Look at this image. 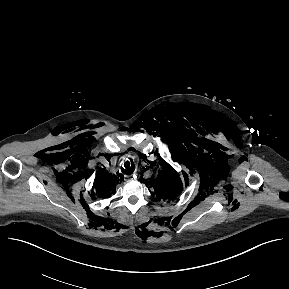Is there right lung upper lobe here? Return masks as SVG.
I'll list each match as a JSON object with an SVG mask.
<instances>
[{
	"mask_svg": "<svg viewBox=\"0 0 289 289\" xmlns=\"http://www.w3.org/2000/svg\"><path fill=\"white\" fill-rule=\"evenodd\" d=\"M117 183L119 182L116 177H110L106 170L101 169L94 184L99 197H108L110 194L115 193Z\"/></svg>",
	"mask_w": 289,
	"mask_h": 289,
	"instance_id": "right-lung-upper-lobe-1",
	"label": "right lung upper lobe"
}]
</instances>
